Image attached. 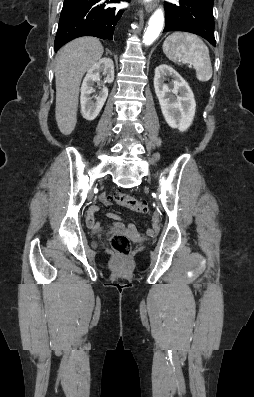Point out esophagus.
I'll use <instances>...</instances> for the list:
<instances>
[{
    "mask_svg": "<svg viewBox=\"0 0 254 397\" xmlns=\"http://www.w3.org/2000/svg\"><path fill=\"white\" fill-rule=\"evenodd\" d=\"M156 5H157V4H156L155 1L150 2V3H147V4L145 5V10H146V12H147V13L152 12V11L155 9Z\"/></svg>",
    "mask_w": 254,
    "mask_h": 397,
    "instance_id": "obj_1",
    "label": "esophagus"
}]
</instances>
